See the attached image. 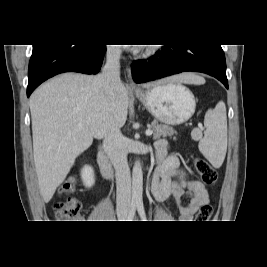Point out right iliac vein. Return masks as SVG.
<instances>
[{
  "label": "right iliac vein",
  "mask_w": 267,
  "mask_h": 267,
  "mask_svg": "<svg viewBox=\"0 0 267 267\" xmlns=\"http://www.w3.org/2000/svg\"><path fill=\"white\" fill-rule=\"evenodd\" d=\"M127 211H118V219H120V220H124V219H126L127 218Z\"/></svg>",
  "instance_id": "right-iliac-vein-1"
}]
</instances>
